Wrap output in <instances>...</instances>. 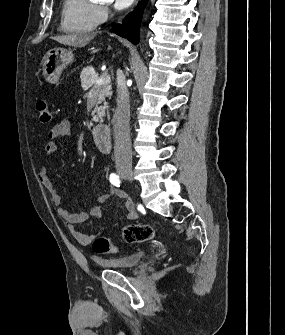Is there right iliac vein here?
I'll use <instances>...</instances> for the list:
<instances>
[{
  "mask_svg": "<svg viewBox=\"0 0 285 335\" xmlns=\"http://www.w3.org/2000/svg\"><path fill=\"white\" fill-rule=\"evenodd\" d=\"M120 175L122 178L129 180V181H132L133 179V172L131 169H128V168L122 169L120 172Z\"/></svg>",
  "mask_w": 285,
  "mask_h": 335,
  "instance_id": "63e3f726",
  "label": "right iliac vein"
}]
</instances>
